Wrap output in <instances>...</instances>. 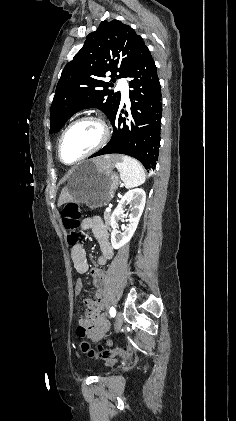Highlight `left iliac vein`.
I'll return each mask as SVG.
<instances>
[{
    "mask_svg": "<svg viewBox=\"0 0 236 421\" xmlns=\"http://www.w3.org/2000/svg\"><path fill=\"white\" fill-rule=\"evenodd\" d=\"M122 324H123V314L119 311L116 314L115 324H114L116 332H118L122 328Z\"/></svg>",
    "mask_w": 236,
    "mask_h": 421,
    "instance_id": "left-iliac-vein-1",
    "label": "left iliac vein"
}]
</instances>
